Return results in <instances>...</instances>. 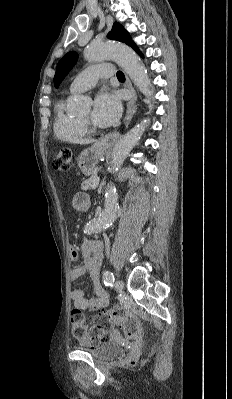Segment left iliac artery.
<instances>
[{"instance_id":"44dca946","label":"left iliac artery","mask_w":232,"mask_h":399,"mask_svg":"<svg viewBox=\"0 0 232 399\" xmlns=\"http://www.w3.org/2000/svg\"><path fill=\"white\" fill-rule=\"evenodd\" d=\"M103 282L105 284V286L108 287H113V282H114V275L111 271L106 270L103 274ZM120 295L117 296V298L119 299Z\"/></svg>"}]
</instances>
